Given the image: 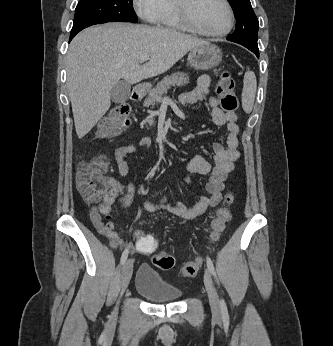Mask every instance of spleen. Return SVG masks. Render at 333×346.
Here are the masks:
<instances>
[{"label": "spleen", "instance_id": "obj_1", "mask_svg": "<svg viewBox=\"0 0 333 346\" xmlns=\"http://www.w3.org/2000/svg\"><path fill=\"white\" fill-rule=\"evenodd\" d=\"M256 89L257 81L255 73L248 68L244 75V84L242 91V106L246 113H250L252 111Z\"/></svg>", "mask_w": 333, "mask_h": 346}]
</instances>
